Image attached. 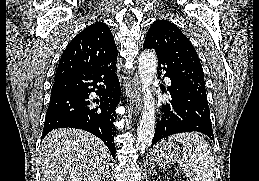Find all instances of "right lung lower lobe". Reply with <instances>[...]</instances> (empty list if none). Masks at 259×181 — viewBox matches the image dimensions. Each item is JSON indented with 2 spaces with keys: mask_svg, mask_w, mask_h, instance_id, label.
<instances>
[{
  "mask_svg": "<svg viewBox=\"0 0 259 181\" xmlns=\"http://www.w3.org/2000/svg\"><path fill=\"white\" fill-rule=\"evenodd\" d=\"M92 92L99 98L92 100ZM119 101L115 61L55 79L41 139L57 128L82 129L100 138L115 158L113 123ZM95 102L98 106L93 105Z\"/></svg>",
  "mask_w": 259,
  "mask_h": 181,
  "instance_id": "98d812e1",
  "label": "right lung lower lobe"
}]
</instances>
